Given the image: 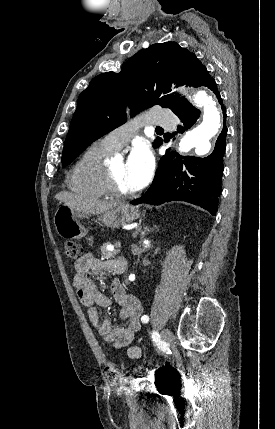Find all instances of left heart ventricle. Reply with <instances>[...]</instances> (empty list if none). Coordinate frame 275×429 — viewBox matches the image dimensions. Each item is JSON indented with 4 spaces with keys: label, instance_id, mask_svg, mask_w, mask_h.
I'll return each mask as SVG.
<instances>
[{
    "label": "left heart ventricle",
    "instance_id": "left-heart-ventricle-1",
    "mask_svg": "<svg viewBox=\"0 0 275 429\" xmlns=\"http://www.w3.org/2000/svg\"><path fill=\"white\" fill-rule=\"evenodd\" d=\"M110 169L119 185V187L126 192H132L126 178L125 162L123 160L116 161L110 165Z\"/></svg>",
    "mask_w": 275,
    "mask_h": 429
}]
</instances>
